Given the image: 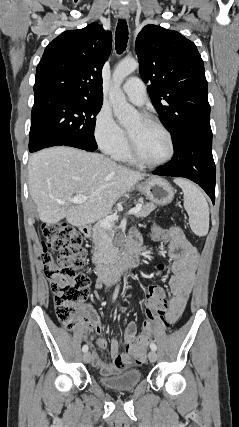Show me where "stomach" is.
Returning <instances> with one entry per match:
<instances>
[{"instance_id":"1","label":"stomach","mask_w":239,"mask_h":427,"mask_svg":"<svg viewBox=\"0 0 239 427\" xmlns=\"http://www.w3.org/2000/svg\"><path fill=\"white\" fill-rule=\"evenodd\" d=\"M137 189L144 194L152 203L165 206L172 202L174 190L165 179L151 177L137 185Z\"/></svg>"}]
</instances>
